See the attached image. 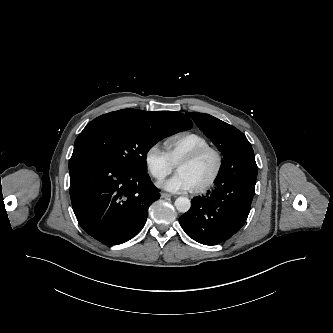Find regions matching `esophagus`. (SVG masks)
Instances as JSON below:
<instances>
[{"label":"esophagus","mask_w":333,"mask_h":333,"mask_svg":"<svg viewBox=\"0 0 333 333\" xmlns=\"http://www.w3.org/2000/svg\"><path fill=\"white\" fill-rule=\"evenodd\" d=\"M161 197H162V198L169 199V198L172 197V195H170V194H168V193H165V192H162V193H161Z\"/></svg>","instance_id":"1"}]
</instances>
